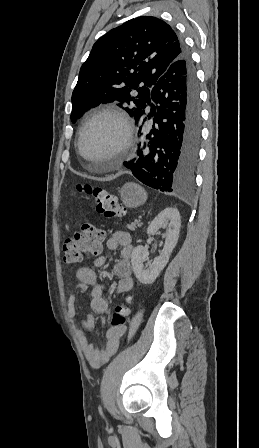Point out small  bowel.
Instances as JSON below:
<instances>
[{
	"label": "small bowel",
	"mask_w": 259,
	"mask_h": 448,
	"mask_svg": "<svg viewBox=\"0 0 259 448\" xmlns=\"http://www.w3.org/2000/svg\"><path fill=\"white\" fill-rule=\"evenodd\" d=\"M105 247L109 251L120 248V259L113 266V275L117 278L115 291L125 293L132 289L133 280L131 277V258L133 252L132 238L128 232L117 231L113 233L105 242ZM102 247H99L97 253H101ZM96 253V254H97ZM106 261V255H99L93 266H82L77 269L76 277L78 283L75 286L74 293L69 297L67 303L68 317L73 322L76 316V296L89 291L90 309L93 313L103 314L109 309L108 301L104 296L103 286L99 281L96 268L102 266ZM82 326L85 330H93L95 327L94 315L88 314L82 320ZM126 331V326L118 328L110 327L105 336V345L98 348L89 343L86 334L82 330H76L80 345L84 355L93 368H99L107 363L109 359L117 352L120 338Z\"/></svg>",
	"instance_id": "obj_1"
}]
</instances>
